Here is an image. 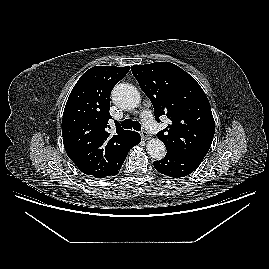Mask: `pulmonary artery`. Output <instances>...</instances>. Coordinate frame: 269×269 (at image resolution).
Instances as JSON below:
<instances>
[{
	"mask_svg": "<svg viewBox=\"0 0 269 269\" xmlns=\"http://www.w3.org/2000/svg\"><path fill=\"white\" fill-rule=\"evenodd\" d=\"M142 122L144 128L151 134H156L161 129L160 125L153 120V118L150 116V113L147 111L142 113Z\"/></svg>",
	"mask_w": 269,
	"mask_h": 269,
	"instance_id": "1",
	"label": "pulmonary artery"
}]
</instances>
